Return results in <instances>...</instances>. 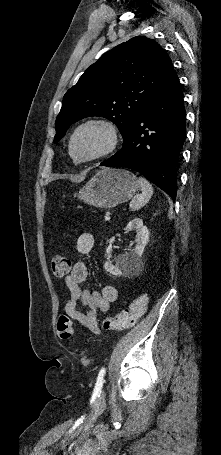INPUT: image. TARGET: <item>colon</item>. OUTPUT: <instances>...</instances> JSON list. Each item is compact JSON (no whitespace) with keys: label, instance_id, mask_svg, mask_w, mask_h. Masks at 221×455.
Returning <instances> with one entry per match:
<instances>
[{"label":"colon","instance_id":"5ec220e1","mask_svg":"<svg viewBox=\"0 0 221 455\" xmlns=\"http://www.w3.org/2000/svg\"><path fill=\"white\" fill-rule=\"evenodd\" d=\"M51 269L55 276H67L71 271V262L64 256H55L51 260ZM147 305L148 297L146 295L137 297L125 309L106 318L104 328L110 331H121L134 327L137 321L145 314ZM57 330L62 340L68 341L73 338V324L69 317L65 315L59 317Z\"/></svg>","mask_w":221,"mask_h":455}]
</instances>
